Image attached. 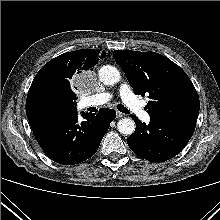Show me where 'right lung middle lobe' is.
Wrapping results in <instances>:
<instances>
[{
  "instance_id": "dd1d6c3e",
  "label": "right lung middle lobe",
  "mask_w": 220,
  "mask_h": 220,
  "mask_svg": "<svg viewBox=\"0 0 220 220\" xmlns=\"http://www.w3.org/2000/svg\"><path fill=\"white\" fill-rule=\"evenodd\" d=\"M76 94L70 88L53 82H43L29 90L27 101L45 102L75 109Z\"/></svg>"
}]
</instances>
